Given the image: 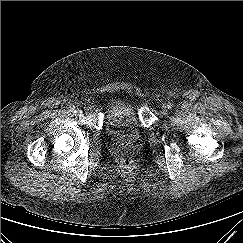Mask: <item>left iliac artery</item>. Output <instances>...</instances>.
<instances>
[{"label":"left iliac artery","mask_w":243,"mask_h":243,"mask_svg":"<svg viewBox=\"0 0 243 243\" xmlns=\"http://www.w3.org/2000/svg\"><path fill=\"white\" fill-rule=\"evenodd\" d=\"M172 106H173L172 103H168V105H167L168 109H171Z\"/></svg>","instance_id":"obj_1"}]
</instances>
